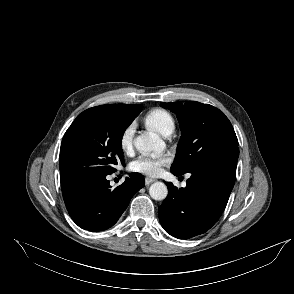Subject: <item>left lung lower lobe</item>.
<instances>
[{"instance_id": "1", "label": "left lung lower lobe", "mask_w": 294, "mask_h": 294, "mask_svg": "<svg viewBox=\"0 0 294 294\" xmlns=\"http://www.w3.org/2000/svg\"><path fill=\"white\" fill-rule=\"evenodd\" d=\"M238 155V147H233L211 157L191 172L185 188L165 182L168 196L158 214L166 232L188 239L205 233L216 223L235 183Z\"/></svg>"}]
</instances>
